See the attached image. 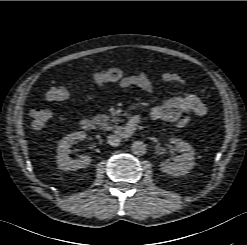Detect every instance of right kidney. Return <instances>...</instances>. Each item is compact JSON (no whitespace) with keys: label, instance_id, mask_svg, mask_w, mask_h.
<instances>
[{"label":"right kidney","instance_id":"obj_1","mask_svg":"<svg viewBox=\"0 0 247 245\" xmlns=\"http://www.w3.org/2000/svg\"><path fill=\"white\" fill-rule=\"evenodd\" d=\"M86 133L84 131L74 132L65 136L58 144L57 147V164L61 170L75 171L81 168L87 167L92 158L89 155H82L80 159L73 160L69 157L71 153L70 146L75 143L76 140H84Z\"/></svg>","mask_w":247,"mask_h":245}]
</instances>
